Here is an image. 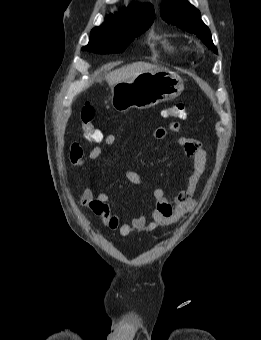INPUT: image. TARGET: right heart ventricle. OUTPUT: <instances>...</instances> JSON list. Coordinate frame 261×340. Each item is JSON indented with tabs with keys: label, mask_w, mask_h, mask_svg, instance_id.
Masks as SVG:
<instances>
[{
	"label": "right heart ventricle",
	"mask_w": 261,
	"mask_h": 340,
	"mask_svg": "<svg viewBox=\"0 0 261 340\" xmlns=\"http://www.w3.org/2000/svg\"><path fill=\"white\" fill-rule=\"evenodd\" d=\"M165 47L170 51H174V50H177L178 48H180L181 46H179L178 44L172 43L170 41H166Z\"/></svg>",
	"instance_id": "e07e8e85"
}]
</instances>
